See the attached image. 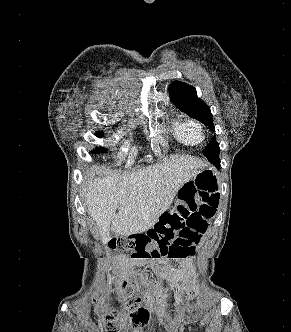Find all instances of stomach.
<instances>
[{
	"mask_svg": "<svg viewBox=\"0 0 291 332\" xmlns=\"http://www.w3.org/2000/svg\"><path fill=\"white\" fill-rule=\"evenodd\" d=\"M195 187L205 193L214 194L219 190L218 173L211 167L203 168L192 178Z\"/></svg>",
	"mask_w": 291,
	"mask_h": 332,
	"instance_id": "0dacf381",
	"label": "stomach"
}]
</instances>
